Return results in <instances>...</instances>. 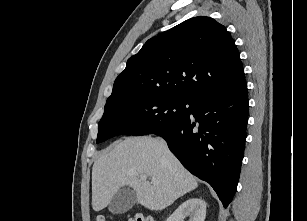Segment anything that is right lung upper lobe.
<instances>
[{"label": "right lung upper lobe", "instance_id": "obj_1", "mask_svg": "<svg viewBox=\"0 0 307 221\" xmlns=\"http://www.w3.org/2000/svg\"><path fill=\"white\" fill-rule=\"evenodd\" d=\"M245 85L240 56L229 32L214 19L198 16L149 39L130 57L106 104L147 93L194 102Z\"/></svg>", "mask_w": 307, "mask_h": 221}]
</instances>
